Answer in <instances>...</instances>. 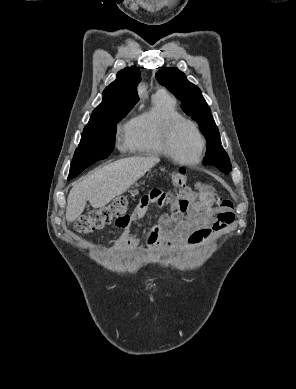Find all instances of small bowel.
Segmentation results:
<instances>
[{"mask_svg":"<svg viewBox=\"0 0 296 389\" xmlns=\"http://www.w3.org/2000/svg\"><path fill=\"white\" fill-rule=\"evenodd\" d=\"M154 205L167 207V212L154 222L148 233V241L158 248L198 245L234 222L232 203L217 196L212 189L187 194L153 190L140 200L126 223L118 226L122 233L113 252H122L132 245L133 228Z\"/></svg>","mask_w":296,"mask_h":389,"instance_id":"1","label":"small bowel"}]
</instances>
